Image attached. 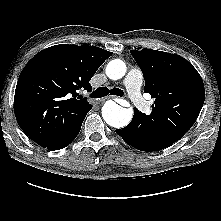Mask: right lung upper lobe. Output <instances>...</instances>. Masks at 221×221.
Returning <instances> with one entry per match:
<instances>
[{"label": "right lung upper lobe", "mask_w": 221, "mask_h": 221, "mask_svg": "<svg viewBox=\"0 0 221 221\" xmlns=\"http://www.w3.org/2000/svg\"><path fill=\"white\" fill-rule=\"evenodd\" d=\"M112 52L89 45L60 44L35 55L22 70L14 97L21 129L47 147L79 126L91 105L77 90L89 81Z\"/></svg>", "instance_id": "cb5924a9"}]
</instances>
